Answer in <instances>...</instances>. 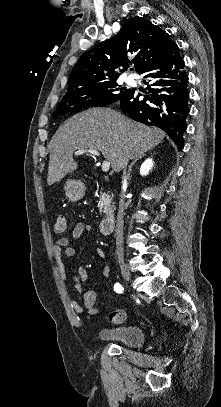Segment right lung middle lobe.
Segmentation results:
<instances>
[{"instance_id": "dd1d6c3e", "label": "right lung middle lobe", "mask_w": 221, "mask_h": 407, "mask_svg": "<svg viewBox=\"0 0 221 407\" xmlns=\"http://www.w3.org/2000/svg\"><path fill=\"white\" fill-rule=\"evenodd\" d=\"M129 91L130 89L126 87H118L115 81L70 91L64 95L53 116L91 106L108 105L116 102Z\"/></svg>"}]
</instances>
